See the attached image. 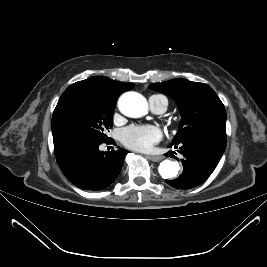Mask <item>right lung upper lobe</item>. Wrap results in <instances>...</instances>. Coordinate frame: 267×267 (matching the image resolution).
<instances>
[{
  "mask_svg": "<svg viewBox=\"0 0 267 267\" xmlns=\"http://www.w3.org/2000/svg\"><path fill=\"white\" fill-rule=\"evenodd\" d=\"M79 82L96 86L116 100L120 94L131 90L134 86L133 83L114 81L104 76H95Z\"/></svg>",
  "mask_w": 267,
  "mask_h": 267,
  "instance_id": "obj_1",
  "label": "right lung upper lobe"
}]
</instances>
